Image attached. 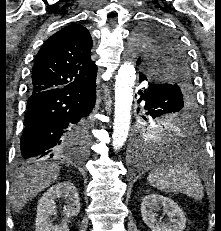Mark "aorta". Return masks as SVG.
Masks as SVG:
<instances>
[{"label":"aorta","mask_w":221,"mask_h":231,"mask_svg":"<svg viewBox=\"0 0 221 231\" xmlns=\"http://www.w3.org/2000/svg\"><path fill=\"white\" fill-rule=\"evenodd\" d=\"M135 80L134 66L130 62L123 63L118 70L115 81V112L112 135L114 150H119L128 137ZM142 162L146 161L142 160Z\"/></svg>","instance_id":"762f6f07"}]
</instances>
